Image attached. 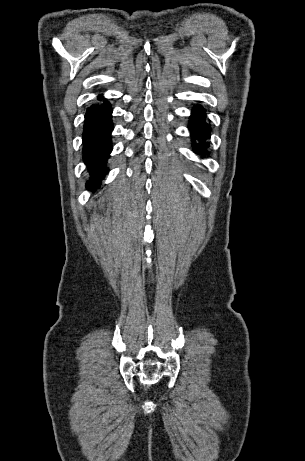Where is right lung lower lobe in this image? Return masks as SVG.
Masks as SVG:
<instances>
[{
	"mask_svg": "<svg viewBox=\"0 0 305 461\" xmlns=\"http://www.w3.org/2000/svg\"><path fill=\"white\" fill-rule=\"evenodd\" d=\"M99 100L103 97L100 95ZM112 109L109 102L94 104L87 108L83 127V160L87 164L91 190L100 186V180L108 172L106 162L112 150L110 134L113 130Z\"/></svg>",
	"mask_w": 305,
	"mask_h": 461,
	"instance_id": "98d812e1",
	"label": "right lung lower lobe"
}]
</instances>
